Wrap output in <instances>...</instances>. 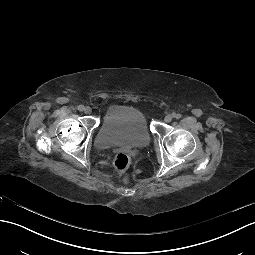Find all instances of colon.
<instances>
[{
  "mask_svg": "<svg viewBox=\"0 0 255 255\" xmlns=\"http://www.w3.org/2000/svg\"><path fill=\"white\" fill-rule=\"evenodd\" d=\"M130 164V157L124 153H118L113 161V165L115 169L124 176V179L127 180V177L125 176V171L128 168Z\"/></svg>",
  "mask_w": 255,
  "mask_h": 255,
  "instance_id": "obj_1",
  "label": "colon"
}]
</instances>
